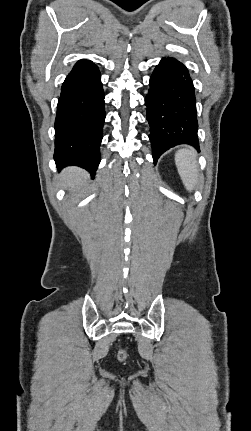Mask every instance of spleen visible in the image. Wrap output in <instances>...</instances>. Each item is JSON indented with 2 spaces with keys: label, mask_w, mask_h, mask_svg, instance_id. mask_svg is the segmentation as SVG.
Masks as SVG:
<instances>
[{
  "label": "spleen",
  "mask_w": 251,
  "mask_h": 431,
  "mask_svg": "<svg viewBox=\"0 0 251 431\" xmlns=\"http://www.w3.org/2000/svg\"><path fill=\"white\" fill-rule=\"evenodd\" d=\"M175 164L185 188L195 189L199 180V170L196 154L192 149H180L175 154Z\"/></svg>",
  "instance_id": "1"
}]
</instances>
